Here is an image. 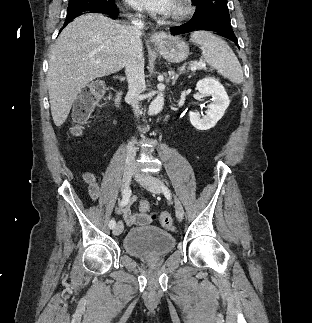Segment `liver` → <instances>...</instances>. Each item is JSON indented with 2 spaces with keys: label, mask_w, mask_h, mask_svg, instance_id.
Masks as SVG:
<instances>
[{
  "label": "liver",
  "mask_w": 312,
  "mask_h": 323,
  "mask_svg": "<svg viewBox=\"0 0 312 323\" xmlns=\"http://www.w3.org/2000/svg\"><path fill=\"white\" fill-rule=\"evenodd\" d=\"M129 52L125 28L117 20L83 14L70 22L49 52L47 84L55 126L64 124L76 96L92 80L122 70Z\"/></svg>",
  "instance_id": "1"
}]
</instances>
